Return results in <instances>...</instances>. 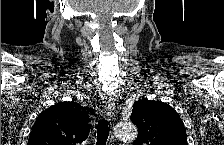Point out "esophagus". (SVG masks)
<instances>
[{"label": "esophagus", "instance_id": "esophagus-1", "mask_svg": "<svg viewBox=\"0 0 224 145\" xmlns=\"http://www.w3.org/2000/svg\"><path fill=\"white\" fill-rule=\"evenodd\" d=\"M115 103L112 100H109L105 106L104 115L107 118H112L115 116Z\"/></svg>", "mask_w": 224, "mask_h": 145}]
</instances>
